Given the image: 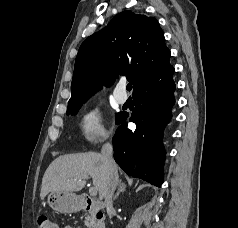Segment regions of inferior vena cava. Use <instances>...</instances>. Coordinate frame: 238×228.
Segmentation results:
<instances>
[{
  "label": "inferior vena cava",
  "mask_w": 238,
  "mask_h": 228,
  "mask_svg": "<svg viewBox=\"0 0 238 228\" xmlns=\"http://www.w3.org/2000/svg\"><path fill=\"white\" fill-rule=\"evenodd\" d=\"M101 154L104 159V163L108 170V180L105 188L104 198L105 205L107 209V213L111 218V214L113 213V194L118 184V173L117 166L113 159V147L110 143H105L102 146Z\"/></svg>",
  "instance_id": "obj_1"
}]
</instances>
